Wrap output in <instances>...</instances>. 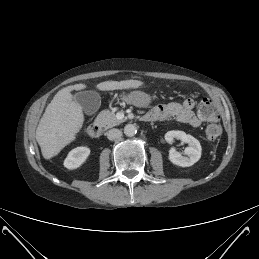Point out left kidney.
Wrapping results in <instances>:
<instances>
[{
  "instance_id": "1",
  "label": "left kidney",
  "mask_w": 259,
  "mask_h": 259,
  "mask_svg": "<svg viewBox=\"0 0 259 259\" xmlns=\"http://www.w3.org/2000/svg\"><path fill=\"white\" fill-rule=\"evenodd\" d=\"M175 139L187 143L188 147L184 150L187 156H182L181 153L177 152L174 148L170 149L168 158L173 164L180 167H189L201 158L202 148L196 138L179 130H171L165 134V140L168 143H173Z\"/></svg>"
}]
</instances>
